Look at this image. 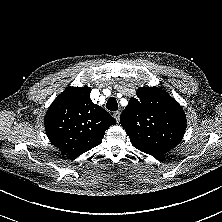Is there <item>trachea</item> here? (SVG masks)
Masks as SVG:
<instances>
[{
  "instance_id": "1",
  "label": "trachea",
  "mask_w": 222,
  "mask_h": 222,
  "mask_svg": "<svg viewBox=\"0 0 222 222\" xmlns=\"http://www.w3.org/2000/svg\"><path fill=\"white\" fill-rule=\"evenodd\" d=\"M106 108L110 111L118 110V103H117L116 98H114V97L109 98L106 103Z\"/></svg>"
}]
</instances>
